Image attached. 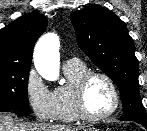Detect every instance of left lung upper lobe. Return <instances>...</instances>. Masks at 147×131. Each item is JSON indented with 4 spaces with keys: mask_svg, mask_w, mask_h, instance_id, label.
<instances>
[{
    "mask_svg": "<svg viewBox=\"0 0 147 131\" xmlns=\"http://www.w3.org/2000/svg\"><path fill=\"white\" fill-rule=\"evenodd\" d=\"M70 18L79 47L119 88L123 102L120 120L147 123L139 94L138 60L125 23L96 4L73 12Z\"/></svg>",
    "mask_w": 147,
    "mask_h": 131,
    "instance_id": "obj_1",
    "label": "left lung upper lobe"
}]
</instances>
